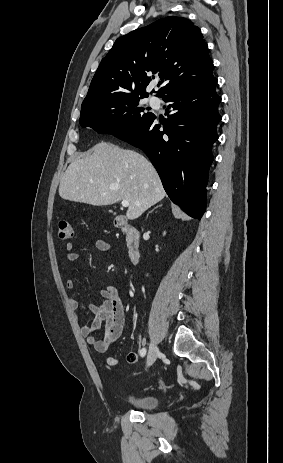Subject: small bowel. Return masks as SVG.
<instances>
[{"instance_id": "small-bowel-1", "label": "small bowel", "mask_w": 283, "mask_h": 463, "mask_svg": "<svg viewBox=\"0 0 283 463\" xmlns=\"http://www.w3.org/2000/svg\"><path fill=\"white\" fill-rule=\"evenodd\" d=\"M95 246L102 252H109L111 246L103 239H96ZM67 260L74 263L78 260V254L74 250L71 243L66 245ZM76 286V281L72 278L66 281L68 290H73ZM103 301L100 304L90 303L87 309L93 314V319L90 323L82 324L81 332L86 339V342L92 346L99 354H107L120 337L124 324L125 313L121 301L119 291L112 286H108L101 291ZM69 304L73 311L79 309V301L76 297L70 296ZM104 324L105 332L104 337L99 339L96 337L95 332ZM137 355V353L132 352ZM138 356V355H137ZM137 362V361H136ZM106 363L110 367H115L119 364V359L115 356H110L106 359Z\"/></svg>"}]
</instances>
